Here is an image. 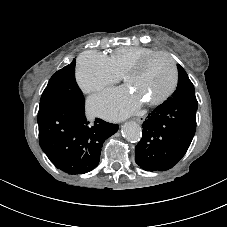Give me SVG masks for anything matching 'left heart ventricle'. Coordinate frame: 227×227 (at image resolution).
Masks as SVG:
<instances>
[{"mask_svg": "<svg viewBox=\"0 0 227 227\" xmlns=\"http://www.w3.org/2000/svg\"><path fill=\"white\" fill-rule=\"evenodd\" d=\"M173 70L165 57L152 59L141 71L131 76L127 83L134 94L143 102L154 100L164 94L171 86Z\"/></svg>", "mask_w": 227, "mask_h": 227, "instance_id": "left-heart-ventricle-1", "label": "left heart ventricle"}]
</instances>
